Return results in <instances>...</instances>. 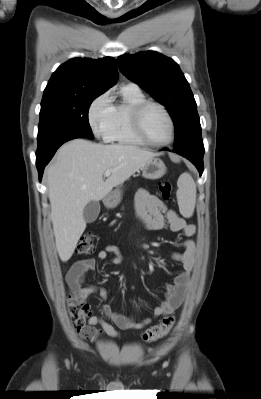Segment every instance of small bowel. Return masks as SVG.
<instances>
[{"label":"small bowel","mask_w":261,"mask_h":399,"mask_svg":"<svg viewBox=\"0 0 261 399\" xmlns=\"http://www.w3.org/2000/svg\"><path fill=\"white\" fill-rule=\"evenodd\" d=\"M135 213L139 221L147 230L157 231L168 227L172 232H181L190 237L195 233V226L187 223L176 211L168 208L157 196L141 189L135 196ZM183 252L172 255L173 260L183 266V271L176 277L173 285H167L166 296L160 305L153 311V317L158 318L174 312L184 301L190 282V276L194 267L197 254L196 242L186 238L181 242ZM111 256V262L120 264L123 261V253L113 245L106 246L97 253V260L104 261ZM96 267V259L88 258L73 264L66 275V282L70 290L81 300H86L95 292H99L102 299H106L105 289L96 286H83L88 273ZM103 315L115 326L125 330L144 329L151 324L152 318L136 321L133 317L126 316L119 311H114L108 305L102 307ZM105 334L109 337L119 335L115 327L98 316H92L88 320L86 331L80 334L83 338L92 339Z\"/></svg>","instance_id":"c3829d8e"}]
</instances>
